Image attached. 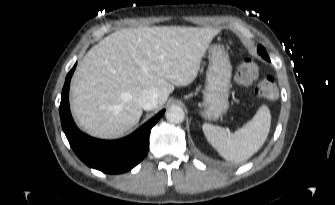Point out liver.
<instances>
[{"label":"liver","mask_w":335,"mask_h":205,"mask_svg":"<svg viewBox=\"0 0 335 205\" xmlns=\"http://www.w3.org/2000/svg\"><path fill=\"white\" fill-rule=\"evenodd\" d=\"M219 29L155 26L121 29L94 45L72 79L71 107L79 125L98 138L132 129L143 108L138 99L155 89L157 108L175 86L191 84Z\"/></svg>","instance_id":"liver-1"}]
</instances>
